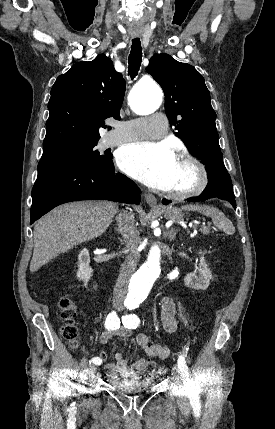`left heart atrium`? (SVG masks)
I'll list each match as a JSON object with an SVG mask.
<instances>
[{"label":"left heart atrium","mask_w":275,"mask_h":429,"mask_svg":"<svg viewBox=\"0 0 275 429\" xmlns=\"http://www.w3.org/2000/svg\"><path fill=\"white\" fill-rule=\"evenodd\" d=\"M176 161L169 145L146 141L127 144L117 155L123 172L149 187L165 191L171 186Z\"/></svg>","instance_id":"left-heart-atrium-1"}]
</instances>
